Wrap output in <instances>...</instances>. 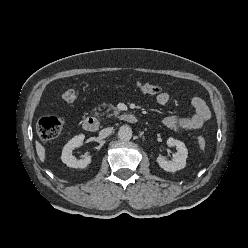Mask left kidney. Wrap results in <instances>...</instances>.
<instances>
[{
	"label": "left kidney",
	"mask_w": 248,
	"mask_h": 248,
	"mask_svg": "<svg viewBox=\"0 0 248 248\" xmlns=\"http://www.w3.org/2000/svg\"><path fill=\"white\" fill-rule=\"evenodd\" d=\"M168 146L176 147L177 152L173 154L172 160H166L159 156L157 163L159 166L167 172H176L183 169L186 166V159L188 157V150L182 141L175 140L170 137L167 140Z\"/></svg>",
	"instance_id": "1"
}]
</instances>
